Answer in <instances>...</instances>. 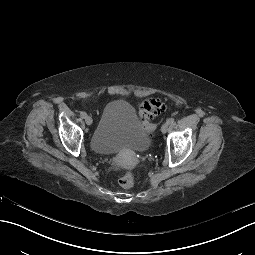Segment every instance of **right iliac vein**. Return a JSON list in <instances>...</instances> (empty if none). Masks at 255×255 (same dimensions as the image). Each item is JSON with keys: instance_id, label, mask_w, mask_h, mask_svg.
I'll return each mask as SVG.
<instances>
[{"instance_id": "1", "label": "right iliac vein", "mask_w": 255, "mask_h": 255, "mask_svg": "<svg viewBox=\"0 0 255 255\" xmlns=\"http://www.w3.org/2000/svg\"><path fill=\"white\" fill-rule=\"evenodd\" d=\"M85 122H86L87 125H91L93 120H92V118L90 116H86Z\"/></svg>"}]
</instances>
